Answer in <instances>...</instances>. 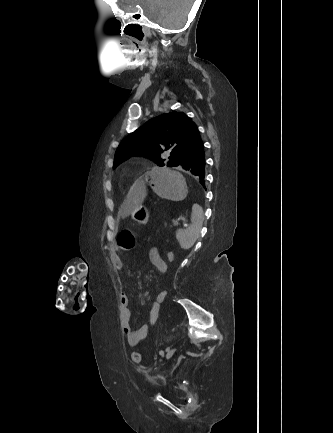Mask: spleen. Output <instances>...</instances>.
<instances>
[{"label":"spleen","mask_w":333,"mask_h":433,"mask_svg":"<svg viewBox=\"0 0 333 433\" xmlns=\"http://www.w3.org/2000/svg\"><path fill=\"white\" fill-rule=\"evenodd\" d=\"M203 209L200 206L193 207L191 224L186 229H179L176 238L183 249L191 248L200 235L203 224Z\"/></svg>","instance_id":"obj_1"}]
</instances>
